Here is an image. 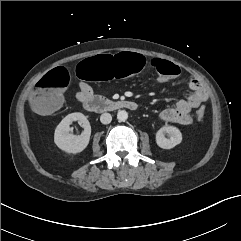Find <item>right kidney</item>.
<instances>
[{"label": "right kidney", "mask_w": 241, "mask_h": 241, "mask_svg": "<svg viewBox=\"0 0 241 241\" xmlns=\"http://www.w3.org/2000/svg\"><path fill=\"white\" fill-rule=\"evenodd\" d=\"M73 121H78L84 128L81 135L70 134V125ZM91 126L86 116L82 113H71L67 115L56 127L54 142L59 149L66 153L77 154L82 152L89 144Z\"/></svg>", "instance_id": "right-kidney-1"}]
</instances>
